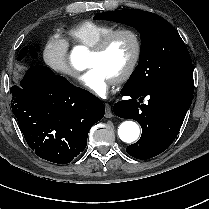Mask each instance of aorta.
I'll return each mask as SVG.
<instances>
[{
  "label": "aorta",
  "instance_id": "1",
  "mask_svg": "<svg viewBox=\"0 0 209 209\" xmlns=\"http://www.w3.org/2000/svg\"><path fill=\"white\" fill-rule=\"evenodd\" d=\"M86 49L82 46L75 47L70 55V61L74 68L83 70L86 68ZM140 134V128L134 121H124L118 128L119 138L126 143L135 142Z\"/></svg>",
  "mask_w": 209,
  "mask_h": 209
}]
</instances>
